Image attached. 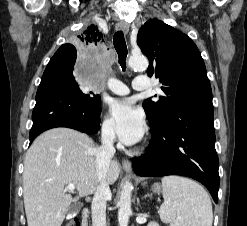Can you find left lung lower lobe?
Here are the masks:
<instances>
[{
  "label": "left lung lower lobe",
  "instance_id": "1",
  "mask_svg": "<svg viewBox=\"0 0 247 226\" xmlns=\"http://www.w3.org/2000/svg\"><path fill=\"white\" fill-rule=\"evenodd\" d=\"M149 151L133 158L136 174L145 177L182 175L201 182L218 202L219 160L215 150L213 104L187 105L151 128Z\"/></svg>",
  "mask_w": 247,
  "mask_h": 226
}]
</instances>
